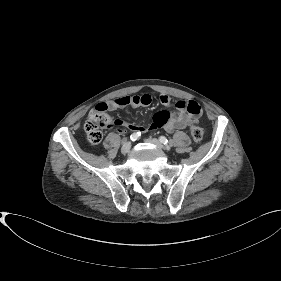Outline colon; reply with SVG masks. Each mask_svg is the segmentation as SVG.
Here are the masks:
<instances>
[{
	"instance_id": "5ec220e1",
	"label": "colon",
	"mask_w": 281,
	"mask_h": 281,
	"mask_svg": "<svg viewBox=\"0 0 281 281\" xmlns=\"http://www.w3.org/2000/svg\"><path fill=\"white\" fill-rule=\"evenodd\" d=\"M115 126V121L104 109L92 110L85 122V132L88 141L96 145L101 142L103 138V132L106 129H110ZM191 136L195 143H200L204 138V131L200 126H191Z\"/></svg>"
}]
</instances>
